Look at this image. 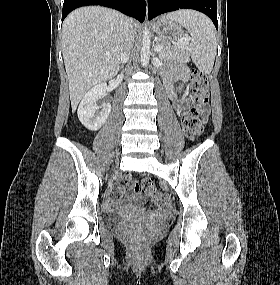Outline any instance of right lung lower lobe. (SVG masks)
<instances>
[{
  "label": "right lung lower lobe",
  "mask_w": 280,
  "mask_h": 285,
  "mask_svg": "<svg viewBox=\"0 0 280 285\" xmlns=\"http://www.w3.org/2000/svg\"><path fill=\"white\" fill-rule=\"evenodd\" d=\"M87 5H101L123 12L126 15L136 18L140 22L145 20V0H64L62 21L74 9Z\"/></svg>",
  "instance_id": "right-lung-lower-lobe-1"
}]
</instances>
